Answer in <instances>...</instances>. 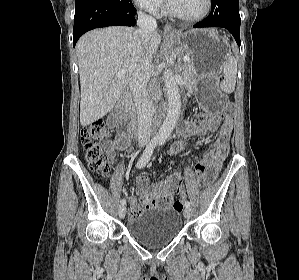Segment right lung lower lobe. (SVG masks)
<instances>
[{
  "label": "right lung lower lobe",
  "mask_w": 299,
  "mask_h": 280,
  "mask_svg": "<svg viewBox=\"0 0 299 280\" xmlns=\"http://www.w3.org/2000/svg\"><path fill=\"white\" fill-rule=\"evenodd\" d=\"M136 9L131 0H76L73 46L87 31L106 26H134Z\"/></svg>",
  "instance_id": "obj_1"
}]
</instances>
